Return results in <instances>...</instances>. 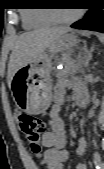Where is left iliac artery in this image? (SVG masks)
I'll use <instances>...</instances> for the list:
<instances>
[{
    "instance_id": "obj_1",
    "label": "left iliac artery",
    "mask_w": 104,
    "mask_h": 169,
    "mask_svg": "<svg viewBox=\"0 0 104 169\" xmlns=\"http://www.w3.org/2000/svg\"><path fill=\"white\" fill-rule=\"evenodd\" d=\"M93 159L96 169H100L101 168L100 166L102 164L100 154L98 152H95L93 155Z\"/></svg>"
}]
</instances>
